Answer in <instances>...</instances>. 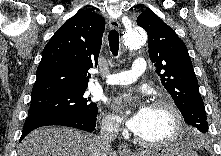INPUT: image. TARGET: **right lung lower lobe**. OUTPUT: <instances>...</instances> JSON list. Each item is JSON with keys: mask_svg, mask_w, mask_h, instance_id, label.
<instances>
[{"mask_svg": "<svg viewBox=\"0 0 221 156\" xmlns=\"http://www.w3.org/2000/svg\"><path fill=\"white\" fill-rule=\"evenodd\" d=\"M97 116H64V115H28L20 141L32 130L48 125L74 127L84 131H94Z\"/></svg>", "mask_w": 221, "mask_h": 156, "instance_id": "right-lung-lower-lobe-1", "label": "right lung lower lobe"}]
</instances>
